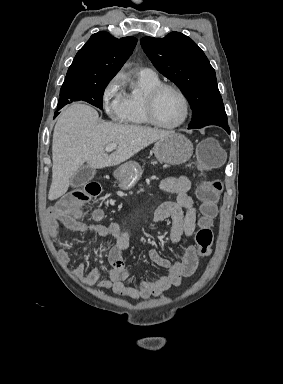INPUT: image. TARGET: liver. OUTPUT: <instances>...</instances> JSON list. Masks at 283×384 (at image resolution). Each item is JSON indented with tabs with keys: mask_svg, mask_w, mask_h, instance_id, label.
Listing matches in <instances>:
<instances>
[{
	"mask_svg": "<svg viewBox=\"0 0 283 384\" xmlns=\"http://www.w3.org/2000/svg\"><path fill=\"white\" fill-rule=\"evenodd\" d=\"M98 122V112L81 102L60 114L53 132L52 184L48 200H57L66 194L73 176L85 162L90 168L118 166L153 142L174 134L156 128ZM107 144H117V150L110 156L105 154Z\"/></svg>",
	"mask_w": 283,
	"mask_h": 384,
	"instance_id": "obj_1",
	"label": "liver"
}]
</instances>
